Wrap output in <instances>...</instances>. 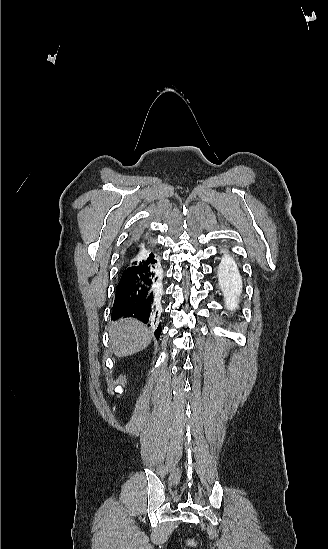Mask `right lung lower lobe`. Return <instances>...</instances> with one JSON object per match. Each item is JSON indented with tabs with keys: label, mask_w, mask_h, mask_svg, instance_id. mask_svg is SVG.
I'll list each match as a JSON object with an SVG mask.
<instances>
[{
	"label": "right lung lower lobe",
	"mask_w": 328,
	"mask_h": 549,
	"mask_svg": "<svg viewBox=\"0 0 328 549\" xmlns=\"http://www.w3.org/2000/svg\"><path fill=\"white\" fill-rule=\"evenodd\" d=\"M134 242L135 240L127 247L124 262L126 256L132 251ZM160 270L157 256L140 260L131 271L125 272V268L116 288L111 315L112 319L134 317L148 326L153 324L157 339L162 329L161 325L156 323L157 311L153 303L155 294L161 286Z\"/></svg>",
	"instance_id": "98d812e1"
}]
</instances>
